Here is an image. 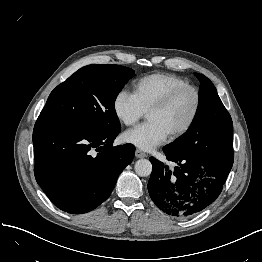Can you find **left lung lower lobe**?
Listing matches in <instances>:
<instances>
[{
    "label": "left lung lower lobe",
    "mask_w": 262,
    "mask_h": 262,
    "mask_svg": "<svg viewBox=\"0 0 262 262\" xmlns=\"http://www.w3.org/2000/svg\"><path fill=\"white\" fill-rule=\"evenodd\" d=\"M163 151L174 168L151 157L153 170L147 185L156 206L166 214L186 219L208 207L221 193L233 165V150L221 162L202 160Z\"/></svg>",
    "instance_id": "1"
}]
</instances>
